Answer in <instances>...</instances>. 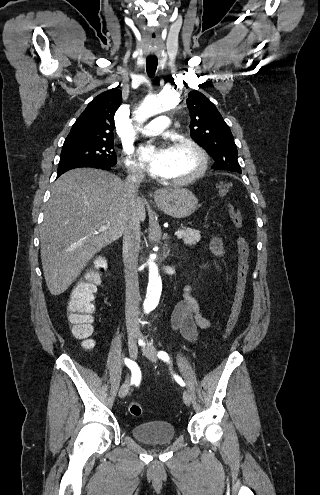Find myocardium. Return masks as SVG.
Wrapping results in <instances>:
<instances>
[{"label":"myocardium","mask_w":320,"mask_h":495,"mask_svg":"<svg viewBox=\"0 0 320 495\" xmlns=\"http://www.w3.org/2000/svg\"><path fill=\"white\" fill-rule=\"evenodd\" d=\"M177 146H185L189 148L195 154L198 164L196 169L189 175L181 179L168 180V181L174 185H187L189 183L194 182L205 173L208 166L207 154L205 150L197 142L187 137L173 138L170 142L169 148H173Z\"/></svg>","instance_id":"f54148a6"}]
</instances>
